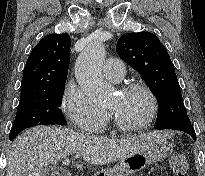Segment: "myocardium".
Returning a JSON list of instances; mask_svg holds the SVG:
<instances>
[{
	"instance_id": "f54148a6",
	"label": "myocardium",
	"mask_w": 205,
	"mask_h": 176,
	"mask_svg": "<svg viewBox=\"0 0 205 176\" xmlns=\"http://www.w3.org/2000/svg\"><path fill=\"white\" fill-rule=\"evenodd\" d=\"M134 91H140L142 93H144L146 95V97L149 100L150 103V112L147 116L146 119H144L142 122L138 123V124H126L124 122H122L114 112H112L111 110H108L109 116L111 117L113 124L122 131H126V132H134V131H138L141 129L146 128L148 125H150L158 112V102H157V98L155 96V94L152 92V90L146 86L143 83L140 82H132L126 85H123L119 91V93L121 94H125V93H130V92H134Z\"/></svg>"
}]
</instances>
